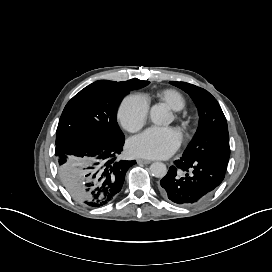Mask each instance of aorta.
<instances>
[{
    "label": "aorta",
    "instance_id": "762f6f07",
    "mask_svg": "<svg viewBox=\"0 0 272 272\" xmlns=\"http://www.w3.org/2000/svg\"><path fill=\"white\" fill-rule=\"evenodd\" d=\"M168 107L166 104L153 105L150 110V117L153 123L162 124L166 120ZM151 174L156 178H163L167 174V167L162 162H154L150 166Z\"/></svg>",
    "mask_w": 272,
    "mask_h": 272
}]
</instances>
